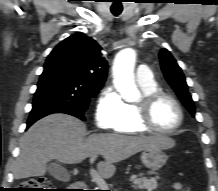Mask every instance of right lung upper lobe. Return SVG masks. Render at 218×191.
<instances>
[{
    "label": "right lung upper lobe",
    "instance_id": "1",
    "mask_svg": "<svg viewBox=\"0 0 218 191\" xmlns=\"http://www.w3.org/2000/svg\"><path fill=\"white\" fill-rule=\"evenodd\" d=\"M100 45L78 32L60 42L48 55L46 65L64 68L73 74L102 86L107 76V61Z\"/></svg>",
    "mask_w": 218,
    "mask_h": 191
}]
</instances>
